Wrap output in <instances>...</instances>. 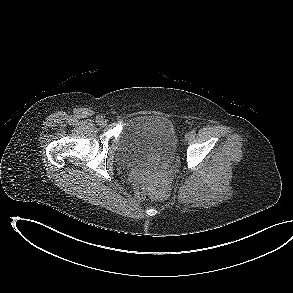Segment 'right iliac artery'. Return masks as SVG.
Instances as JSON below:
<instances>
[{
	"instance_id": "82829eb1",
	"label": "right iliac artery",
	"mask_w": 293,
	"mask_h": 293,
	"mask_svg": "<svg viewBox=\"0 0 293 293\" xmlns=\"http://www.w3.org/2000/svg\"><path fill=\"white\" fill-rule=\"evenodd\" d=\"M101 119H102V116H97V117H96V122H100Z\"/></svg>"
}]
</instances>
